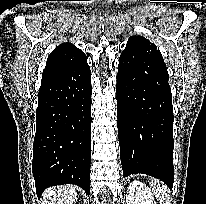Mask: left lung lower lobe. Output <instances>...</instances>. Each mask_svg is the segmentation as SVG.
<instances>
[{
	"instance_id": "0a47b994",
	"label": "left lung lower lobe",
	"mask_w": 206,
	"mask_h": 204,
	"mask_svg": "<svg viewBox=\"0 0 206 204\" xmlns=\"http://www.w3.org/2000/svg\"><path fill=\"white\" fill-rule=\"evenodd\" d=\"M164 62L146 60L133 69L119 58L117 126L123 175L143 173L172 189L173 107Z\"/></svg>"
}]
</instances>
